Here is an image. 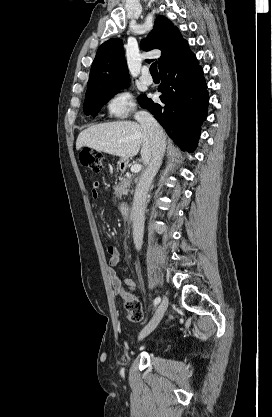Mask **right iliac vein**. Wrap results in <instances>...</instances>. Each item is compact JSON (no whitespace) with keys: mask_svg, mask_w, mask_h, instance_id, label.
<instances>
[{"mask_svg":"<svg viewBox=\"0 0 272 417\" xmlns=\"http://www.w3.org/2000/svg\"><path fill=\"white\" fill-rule=\"evenodd\" d=\"M169 300L166 296L163 297L162 302L158 306V308L155 311V314L153 315L152 319L149 321V323L142 329V331L139 334L138 340L144 339L146 336H148L159 324L161 319L163 318L167 307H168Z\"/></svg>","mask_w":272,"mask_h":417,"instance_id":"right-iliac-vein-1","label":"right iliac vein"}]
</instances>
